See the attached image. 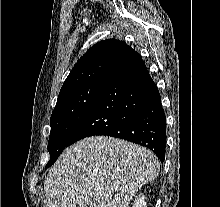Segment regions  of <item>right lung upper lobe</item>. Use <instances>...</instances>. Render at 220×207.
I'll use <instances>...</instances> for the list:
<instances>
[{"label": "right lung upper lobe", "mask_w": 220, "mask_h": 207, "mask_svg": "<svg viewBox=\"0 0 220 207\" xmlns=\"http://www.w3.org/2000/svg\"><path fill=\"white\" fill-rule=\"evenodd\" d=\"M142 60L125 42L108 39L93 45L74 65L59 95L95 80L107 79Z\"/></svg>", "instance_id": "cb5924a9"}]
</instances>
